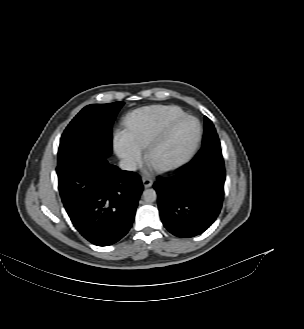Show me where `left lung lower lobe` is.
<instances>
[{
    "label": "left lung lower lobe",
    "mask_w": 304,
    "mask_h": 329,
    "mask_svg": "<svg viewBox=\"0 0 304 329\" xmlns=\"http://www.w3.org/2000/svg\"><path fill=\"white\" fill-rule=\"evenodd\" d=\"M224 181V160L215 134L182 172L154 183L160 217L167 230L188 238L208 229L221 210Z\"/></svg>",
    "instance_id": "1"
}]
</instances>
